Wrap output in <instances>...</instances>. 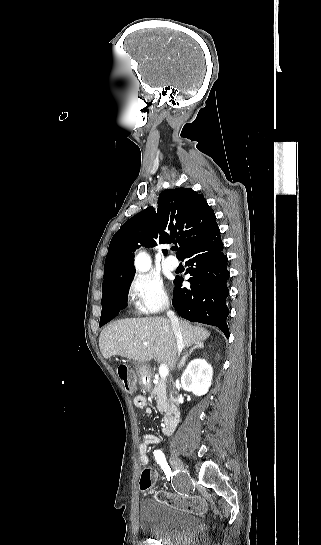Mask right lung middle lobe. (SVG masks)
<instances>
[{
	"mask_svg": "<svg viewBox=\"0 0 321 545\" xmlns=\"http://www.w3.org/2000/svg\"><path fill=\"white\" fill-rule=\"evenodd\" d=\"M133 278H134V273L127 276L117 287L112 288V289H108V290H102L103 291L102 308L104 307L106 301L108 300V298L110 296H112V295H127L128 291H129V288H130V283L132 282ZM104 323H105L104 322V316L102 314L101 318H100V327L103 326Z\"/></svg>",
	"mask_w": 321,
	"mask_h": 545,
	"instance_id": "right-lung-middle-lobe-1",
	"label": "right lung middle lobe"
}]
</instances>
